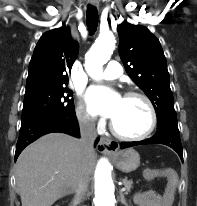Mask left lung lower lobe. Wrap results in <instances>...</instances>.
Instances as JSON below:
<instances>
[{"mask_svg":"<svg viewBox=\"0 0 197 206\" xmlns=\"http://www.w3.org/2000/svg\"><path fill=\"white\" fill-rule=\"evenodd\" d=\"M142 144H163L174 149L181 160L183 161V151L180 141L179 130L172 128H165L158 130L154 136L149 139L138 141V142H122L121 148H128Z\"/></svg>","mask_w":197,"mask_h":206,"instance_id":"1","label":"left lung lower lobe"}]
</instances>
